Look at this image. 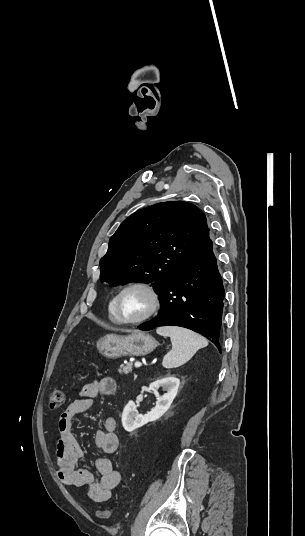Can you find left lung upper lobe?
Segmentation results:
<instances>
[{
    "label": "left lung upper lobe",
    "mask_w": 305,
    "mask_h": 536,
    "mask_svg": "<svg viewBox=\"0 0 305 536\" xmlns=\"http://www.w3.org/2000/svg\"><path fill=\"white\" fill-rule=\"evenodd\" d=\"M210 241L202 211L183 201L158 203L121 223L100 260L112 286L146 282L160 292Z\"/></svg>",
    "instance_id": "obj_1"
}]
</instances>
